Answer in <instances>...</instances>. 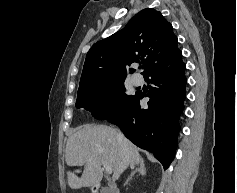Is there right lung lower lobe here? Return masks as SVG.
<instances>
[{
	"label": "right lung lower lobe",
	"instance_id": "obj_1",
	"mask_svg": "<svg viewBox=\"0 0 237 193\" xmlns=\"http://www.w3.org/2000/svg\"><path fill=\"white\" fill-rule=\"evenodd\" d=\"M185 68L180 50L155 64L143 75L152 84L148 93L136 92L123 110L106 119L118 125L135 145L152 152L164 169L177 147L178 119L186 95ZM143 97L150 98L147 108L139 105Z\"/></svg>",
	"mask_w": 237,
	"mask_h": 193
}]
</instances>
